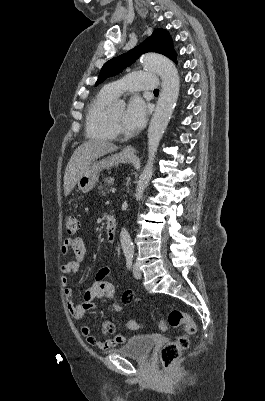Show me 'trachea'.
Instances as JSON below:
<instances>
[{"instance_id":"obj_1","label":"trachea","mask_w":265,"mask_h":401,"mask_svg":"<svg viewBox=\"0 0 265 401\" xmlns=\"http://www.w3.org/2000/svg\"><path fill=\"white\" fill-rule=\"evenodd\" d=\"M154 93H159V90H158V88H156L155 90H154Z\"/></svg>"}]
</instances>
